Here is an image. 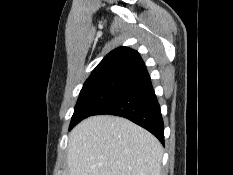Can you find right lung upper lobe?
<instances>
[{"instance_id":"right-lung-upper-lobe-1","label":"right lung upper lobe","mask_w":233,"mask_h":175,"mask_svg":"<svg viewBox=\"0 0 233 175\" xmlns=\"http://www.w3.org/2000/svg\"><path fill=\"white\" fill-rule=\"evenodd\" d=\"M145 74L147 70L139 53L128 47H120L106 55L88 79L122 76L135 80Z\"/></svg>"}]
</instances>
